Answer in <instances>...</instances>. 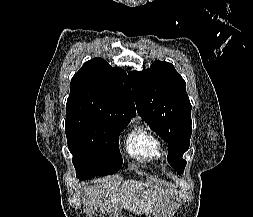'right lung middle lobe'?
Returning <instances> with one entry per match:
<instances>
[{
  "mask_svg": "<svg viewBox=\"0 0 253 217\" xmlns=\"http://www.w3.org/2000/svg\"><path fill=\"white\" fill-rule=\"evenodd\" d=\"M128 123V120L66 114L65 133L77 178L84 180L105 176L121 168L123 160L119 151V132Z\"/></svg>",
  "mask_w": 253,
  "mask_h": 217,
  "instance_id": "dd1d6c3e",
  "label": "right lung middle lobe"
}]
</instances>
